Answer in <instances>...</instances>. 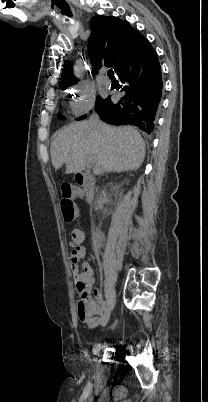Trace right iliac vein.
<instances>
[{"label": "right iliac vein", "instance_id": "1", "mask_svg": "<svg viewBox=\"0 0 208 402\" xmlns=\"http://www.w3.org/2000/svg\"><path fill=\"white\" fill-rule=\"evenodd\" d=\"M110 314H111V310L108 308L106 310V312H105V316H104V319H103V324H102L103 326H105L108 323L109 318H110Z\"/></svg>", "mask_w": 208, "mask_h": 402}]
</instances>
